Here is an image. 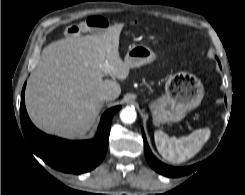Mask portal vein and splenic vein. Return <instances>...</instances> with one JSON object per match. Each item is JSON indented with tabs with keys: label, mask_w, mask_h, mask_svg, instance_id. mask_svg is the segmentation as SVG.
Masks as SVG:
<instances>
[{
	"label": "portal vein and splenic vein",
	"mask_w": 245,
	"mask_h": 195,
	"mask_svg": "<svg viewBox=\"0 0 245 195\" xmlns=\"http://www.w3.org/2000/svg\"><path fill=\"white\" fill-rule=\"evenodd\" d=\"M104 68H105L104 73L107 74L108 73V65H105Z\"/></svg>",
	"instance_id": "portal-vein-and-splenic-vein-1"
}]
</instances>
